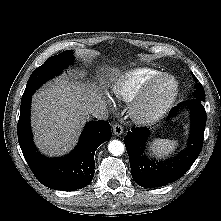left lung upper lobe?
<instances>
[{"instance_id":"obj_1","label":"left lung upper lobe","mask_w":221,"mask_h":221,"mask_svg":"<svg viewBox=\"0 0 221 221\" xmlns=\"http://www.w3.org/2000/svg\"><path fill=\"white\" fill-rule=\"evenodd\" d=\"M194 77V80L197 82L198 80ZM197 88H196V92L194 94L195 96V99L198 100V101H201L203 102L205 100V92H204V89L202 87V85L199 83V84H196Z\"/></svg>"}]
</instances>
